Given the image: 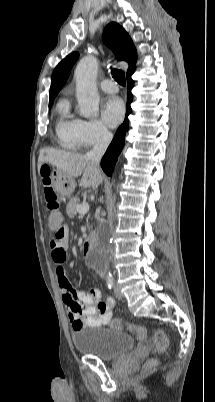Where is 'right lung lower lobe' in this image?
Instances as JSON below:
<instances>
[{
    "mask_svg": "<svg viewBox=\"0 0 215 402\" xmlns=\"http://www.w3.org/2000/svg\"><path fill=\"white\" fill-rule=\"evenodd\" d=\"M127 89L131 92V89L134 87V82L131 79V76L127 77ZM133 100L132 95L127 96V105H126V118L123 124L118 128L111 144L109 145L106 153L104 154L101 160V167L107 175H111L114 165L117 161V158L124 146L125 134L128 131L129 123H128V115L131 113L130 104Z\"/></svg>",
    "mask_w": 215,
    "mask_h": 402,
    "instance_id": "1",
    "label": "right lung lower lobe"
}]
</instances>
